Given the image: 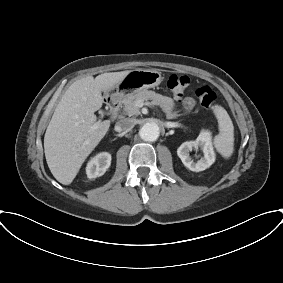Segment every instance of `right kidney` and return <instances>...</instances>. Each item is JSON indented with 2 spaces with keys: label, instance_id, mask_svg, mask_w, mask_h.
I'll use <instances>...</instances> for the list:
<instances>
[{
  "label": "right kidney",
  "instance_id": "ca27d5eb",
  "mask_svg": "<svg viewBox=\"0 0 283 283\" xmlns=\"http://www.w3.org/2000/svg\"><path fill=\"white\" fill-rule=\"evenodd\" d=\"M111 164V155L107 152L100 153L93 157L87 164V177L92 179L102 176Z\"/></svg>",
  "mask_w": 283,
  "mask_h": 283
}]
</instances>
